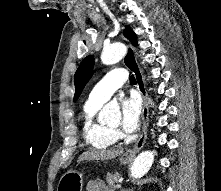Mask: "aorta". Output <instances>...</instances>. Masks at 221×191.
Here are the masks:
<instances>
[{
	"mask_svg": "<svg viewBox=\"0 0 221 191\" xmlns=\"http://www.w3.org/2000/svg\"><path fill=\"white\" fill-rule=\"evenodd\" d=\"M126 53V47L123 43H113L104 48L101 54V61L106 65H111L120 61ZM119 112V107L106 105L101 116L106 119L114 113ZM154 161V153L152 151H144L140 153L133 162L131 174L134 178L143 177L151 168Z\"/></svg>",
	"mask_w": 221,
	"mask_h": 191,
	"instance_id": "762f6f07",
	"label": "aorta"
}]
</instances>
